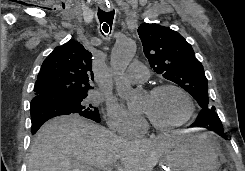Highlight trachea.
<instances>
[{
    "mask_svg": "<svg viewBox=\"0 0 245 171\" xmlns=\"http://www.w3.org/2000/svg\"><path fill=\"white\" fill-rule=\"evenodd\" d=\"M114 11H104L98 8V19L100 21V30L104 33H108L113 24ZM102 32V33H103Z\"/></svg>",
    "mask_w": 245,
    "mask_h": 171,
    "instance_id": "3493384b",
    "label": "trachea"
}]
</instances>
